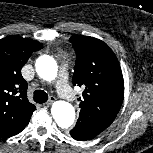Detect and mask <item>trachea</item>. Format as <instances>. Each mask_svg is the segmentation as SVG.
Wrapping results in <instances>:
<instances>
[{
  "mask_svg": "<svg viewBox=\"0 0 153 153\" xmlns=\"http://www.w3.org/2000/svg\"><path fill=\"white\" fill-rule=\"evenodd\" d=\"M33 99H34L35 102L42 104V103L47 102V100H48V95H47V93H46L45 91H43V90H36V91L34 92Z\"/></svg>",
  "mask_w": 153,
  "mask_h": 153,
  "instance_id": "trachea-1",
  "label": "trachea"
}]
</instances>
